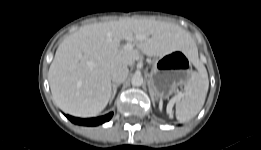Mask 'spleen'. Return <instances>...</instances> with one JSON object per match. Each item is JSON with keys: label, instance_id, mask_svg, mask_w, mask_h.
Instances as JSON below:
<instances>
[{"label": "spleen", "instance_id": "3e777b00", "mask_svg": "<svg viewBox=\"0 0 261 150\" xmlns=\"http://www.w3.org/2000/svg\"><path fill=\"white\" fill-rule=\"evenodd\" d=\"M192 61L198 71L193 72L184 85V92L174 99L176 104V118L180 122L194 118L202 109L209 88L208 74L205 67L199 62L197 49L191 51Z\"/></svg>", "mask_w": 261, "mask_h": 150}]
</instances>
